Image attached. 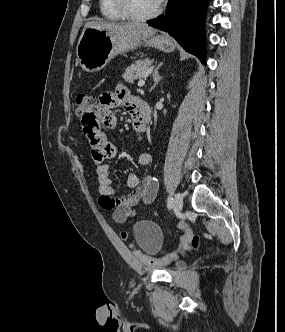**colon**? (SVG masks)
<instances>
[{
	"label": "colon",
	"instance_id": "obj_1",
	"mask_svg": "<svg viewBox=\"0 0 285 332\" xmlns=\"http://www.w3.org/2000/svg\"><path fill=\"white\" fill-rule=\"evenodd\" d=\"M96 97L90 94H80L76 97L74 105L77 116L83 115L84 111H89V107L96 106ZM180 228L185 232L181 238V244L176 252L170 253L162 258H151L145 253L138 251L140 260L147 265H163L186 254L198 245V237L190 234L189 227L186 223H181ZM122 237H128L127 232H122Z\"/></svg>",
	"mask_w": 285,
	"mask_h": 332
}]
</instances>
